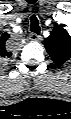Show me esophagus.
I'll use <instances>...</instances> for the list:
<instances>
[{
  "instance_id": "obj_1",
  "label": "esophagus",
  "mask_w": 71,
  "mask_h": 119,
  "mask_svg": "<svg viewBox=\"0 0 71 119\" xmlns=\"http://www.w3.org/2000/svg\"><path fill=\"white\" fill-rule=\"evenodd\" d=\"M29 38L32 41H41L42 40V36L41 35H37L35 33H31Z\"/></svg>"
}]
</instances>
